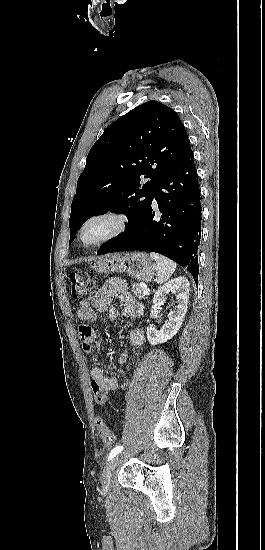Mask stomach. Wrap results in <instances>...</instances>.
Masks as SVG:
<instances>
[{
	"label": "stomach",
	"instance_id": "stomach-1",
	"mask_svg": "<svg viewBox=\"0 0 265 550\" xmlns=\"http://www.w3.org/2000/svg\"><path fill=\"white\" fill-rule=\"evenodd\" d=\"M92 267L98 273L111 274L124 272L144 282L151 281L157 270L152 258L143 252L108 254L99 257Z\"/></svg>",
	"mask_w": 265,
	"mask_h": 550
}]
</instances>
